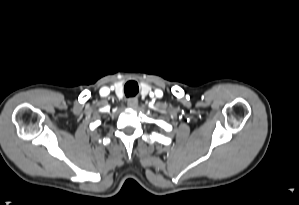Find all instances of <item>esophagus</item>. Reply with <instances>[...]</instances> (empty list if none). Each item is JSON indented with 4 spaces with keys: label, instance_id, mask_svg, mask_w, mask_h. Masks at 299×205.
<instances>
[{
    "label": "esophagus",
    "instance_id": "1",
    "mask_svg": "<svg viewBox=\"0 0 299 205\" xmlns=\"http://www.w3.org/2000/svg\"><path fill=\"white\" fill-rule=\"evenodd\" d=\"M127 105H128L129 108L135 109L138 106V100L136 98H130L127 101Z\"/></svg>",
    "mask_w": 299,
    "mask_h": 205
}]
</instances>
